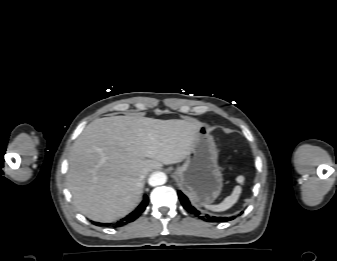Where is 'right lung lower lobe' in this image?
<instances>
[{
  "mask_svg": "<svg viewBox=\"0 0 337 261\" xmlns=\"http://www.w3.org/2000/svg\"><path fill=\"white\" fill-rule=\"evenodd\" d=\"M148 201H149L148 197L146 195H144L143 201L140 203V205L133 212H131L128 216L121 219L116 224H101V225H104V226H109V225L123 226V225H126V224L134 221L145 210V208L148 204ZM97 224L100 225V223H97Z\"/></svg>",
  "mask_w": 337,
  "mask_h": 261,
  "instance_id": "98d812e1",
  "label": "right lung lower lobe"
}]
</instances>
